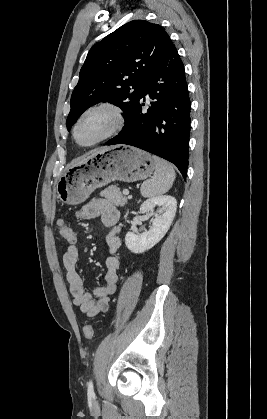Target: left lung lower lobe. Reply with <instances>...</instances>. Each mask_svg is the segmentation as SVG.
Returning <instances> with one entry per match:
<instances>
[{"mask_svg":"<svg viewBox=\"0 0 267 419\" xmlns=\"http://www.w3.org/2000/svg\"><path fill=\"white\" fill-rule=\"evenodd\" d=\"M145 83L124 128L106 145L127 144L153 153L175 164L186 179L191 102L184 66L172 41ZM147 94L155 99L148 109Z\"/></svg>","mask_w":267,"mask_h":419,"instance_id":"1","label":"left lung lower lobe"}]
</instances>
